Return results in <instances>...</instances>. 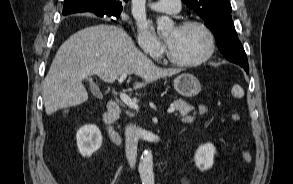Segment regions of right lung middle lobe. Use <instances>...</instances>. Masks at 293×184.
<instances>
[{
	"mask_svg": "<svg viewBox=\"0 0 293 184\" xmlns=\"http://www.w3.org/2000/svg\"><path fill=\"white\" fill-rule=\"evenodd\" d=\"M99 13H101V15H107L108 17L118 18L120 16L121 11L104 10V11H101Z\"/></svg>",
	"mask_w": 293,
	"mask_h": 184,
	"instance_id": "obj_1",
	"label": "right lung middle lobe"
}]
</instances>
